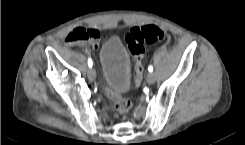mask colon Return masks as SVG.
Wrapping results in <instances>:
<instances>
[{
    "instance_id": "obj_1",
    "label": "colon",
    "mask_w": 245,
    "mask_h": 145,
    "mask_svg": "<svg viewBox=\"0 0 245 145\" xmlns=\"http://www.w3.org/2000/svg\"><path fill=\"white\" fill-rule=\"evenodd\" d=\"M99 34L95 29L76 27L65 37L66 43H92ZM168 32L156 25H144L130 29L125 35V42L134 60L133 84L139 85L144 75V44L156 42H167ZM107 94L114 101L115 111L118 115H126L132 108V103L128 99L121 98L107 89Z\"/></svg>"
}]
</instances>
